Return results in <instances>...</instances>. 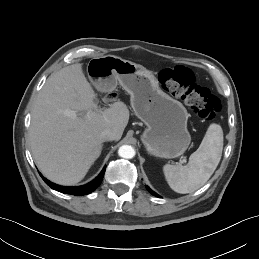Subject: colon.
Instances as JSON below:
<instances>
[{
    "label": "colon",
    "mask_w": 259,
    "mask_h": 259,
    "mask_svg": "<svg viewBox=\"0 0 259 259\" xmlns=\"http://www.w3.org/2000/svg\"><path fill=\"white\" fill-rule=\"evenodd\" d=\"M162 88L183 100L201 119L209 121L220 111L219 99L208 89L197 85L192 70L184 66L163 68L158 76Z\"/></svg>",
    "instance_id": "colon-1"
}]
</instances>
